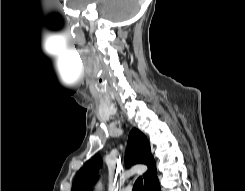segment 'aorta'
I'll use <instances>...</instances> for the list:
<instances>
[{
	"mask_svg": "<svg viewBox=\"0 0 245 191\" xmlns=\"http://www.w3.org/2000/svg\"><path fill=\"white\" fill-rule=\"evenodd\" d=\"M95 190L96 191H99L100 190V186H97Z\"/></svg>",
	"mask_w": 245,
	"mask_h": 191,
	"instance_id": "762f6f07",
	"label": "aorta"
}]
</instances>
